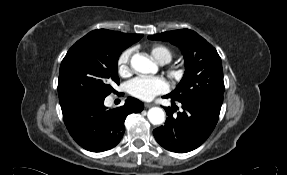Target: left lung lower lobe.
Masks as SVG:
<instances>
[{
	"instance_id": "obj_1",
	"label": "left lung lower lobe",
	"mask_w": 287,
	"mask_h": 175,
	"mask_svg": "<svg viewBox=\"0 0 287 175\" xmlns=\"http://www.w3.org/2000/svg\"><path fill=\"white\" fill-rule=\"evenodd\" d=\"M164 98H170L169 95ZM183 111L173 115L170 107H165L168 118L165 125L153 131L157 142L165 149L186 153L199 147L215 128L219 114L207 106L190 101H179ZM173 109V108H172Z\"/></svg>"
}]
</instances>
